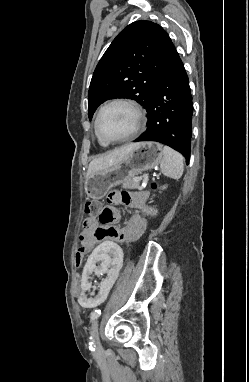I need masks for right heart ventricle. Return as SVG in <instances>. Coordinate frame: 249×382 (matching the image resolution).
I'll return each mask as SVG.
<instances>
[{
    "instance_id": "1",
    "label": "right heart ventricle",
    "mask_w": 249,
    "mask_h": 382,
    "mask_svg": "<svg viewBox=\"0 0 249 382\" xmlns=\"http://www.w3.org/2000/svg\"><path fill=\"white\" fill-rule=\"evenodd\" d=\"M98 141H99V143H100L102 146H106V145H107L106 143L102 142L99 138H98Z\"/></svg>"
}]
</instances>
